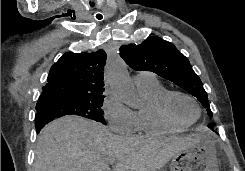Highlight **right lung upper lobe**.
Wrapping results in <instances>:
<instances>
[{
    "mask_svg": "<svg viewBox=\"0 0 245 171\" xmlns=\"http://www.w3.org/2000/svg\"><path fill=\"white\" fill-rule=\"evenodd\" d=\"M106 53L67 52L51 67L37 104L50 98L89 97L104 92Z\"/></svg>",
    "mask_w": 245,
    "mask_h": 171,
    "instance_id": "obj_1",
    "label": "right lung upper lobe"
}]
</instances>
